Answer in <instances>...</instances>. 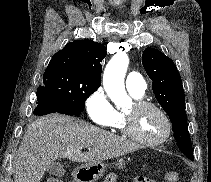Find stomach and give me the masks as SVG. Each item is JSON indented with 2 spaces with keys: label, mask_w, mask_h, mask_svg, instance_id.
I'll use <instances>...</instances> for the list:
<instances>
[{
  "label": "stomach",
  "mask_w": 211,
  "mask_h": 182,
  "mask_svg": "<svg viewBox=\"0 0 211 182\" xmlns=\"http://www.w3.org/2000/svg\"><path fill=\"white\" fill-rule=\"evenodd\" d=\"M126 160L120 158L116 162V166L121 169L124 168ZM106 171V164L103 162H90L77 167L73 172L75 182H96L104 176Z\"/></svg>",
  "instance_id": "0dacf381"
}]
</instances>
